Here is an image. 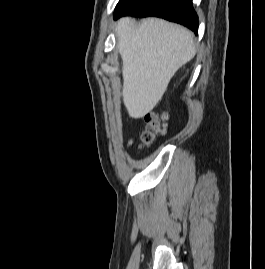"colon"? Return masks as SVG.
<instances>
[{
  "label": "colon",
  "instance_id": "obj_1",
  "mask_svg": "<svg viewBox=\"0 0 265 269\" xmlns=\"http://www.w3.org/2000/svg\"><path fill=\"white\" fill-rule=\"evenodd\" d=\"M147 128L142 136L145 146L152 144L158 137L166 132V116L158 114H148L146 116Z\"/></svg>",
  "mask_w": 265,
  "mask_h": 269
}]
</instances>
